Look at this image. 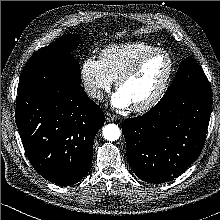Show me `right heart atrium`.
Returning <instances> with one entry per match:
<instances>
[{
	"instance_id": "1",
	"label": "right heart atrium",
	"mask_w": 220,
	"mask_h": 220,
	"mask_svg": "<svg viewBox=\"0 0 220 220\" xmlns=\"http://www.w3.org/2000/svg\"><path fill=\"white\" fill-rule=\"evenodd\" d=\"M80 72L87 95L93 100H101L104 92L110 89L113 79L105 71L100 59L86 58Z\"/></svg>"
}]
</instances>
